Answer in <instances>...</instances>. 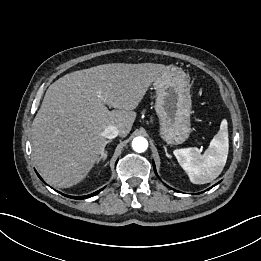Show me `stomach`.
I'll return each instance as SVG.
<instances>
[{"label":"stomach","instance_id":"stomach-1","mask_svg":"<svg viewBox=\"0 0 261 261\" xmlns=\"http://www.w3.org/2000/svg\"><path fill=\"white\" fill-rule=\"evenodd\" d=\"M156 90L155 111L159 118L160 137L168 144L185 142L191 133V95L187 74L169 67L153 83Z\"/></svg>","mask_w":261,"mask_h":261}]
</instances>
